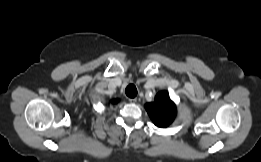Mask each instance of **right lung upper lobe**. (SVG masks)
Masks as SVG:
<instances>
[{"instance_id": "obj_1", "label": "right lung upper lobe", "mask_w": 261, "mask_h": 162, "mask_svg": "<svg viewBox=\"0 0 261 162\" xmlns=\"http://www.w3.org/2000/svg\"><path fill=\"white\" fill-rule=\"evenodd\" d=\"M119 100L118 99H114L112 100V103H117Z\"/></svg>"}]
</instances>
